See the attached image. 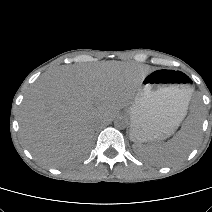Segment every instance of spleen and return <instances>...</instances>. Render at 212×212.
<instances>
[{
  "label": "spleen",
  "instance_id": "obj_1",
  "mask_svg": "<svg viewBox=\"0 0 212 212\" xmlns=\"http://www.w3.org/2000/svg\"><path fill=\"white\" fill-rule=\"evenodd\" d=\"M186 115V114H185ZM199 135V124L187 121L182 129L166 143L135 144L134 150L144 160L155 165H173L183 161L193 149Z\"/></svg>",
  "mask_w": 212,
  "mask_h": 212
}]
</instances>
